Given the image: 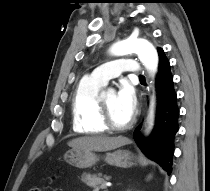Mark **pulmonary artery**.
<instances>
[{
    "instance_id": "obj_1",
    "label": "pulmonary artery",
    "mask_w": 210,
    "mask_h": 191,
    "mask_svg": "<svg viewBox=\"0 0 210 191\" xmlns=\"http://www.w3.org/2000/svg\"><path fill=\"white\" fill-rule=\"evenodd\" d=\"M124 71H128L133 75L144 74L138 62L128 58H120L102 64L90 73L89 77L105 85L110 79L118 77Z\"/></svg>"
}]
</instances>
